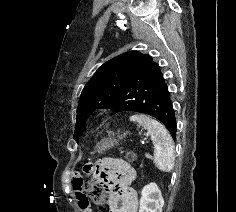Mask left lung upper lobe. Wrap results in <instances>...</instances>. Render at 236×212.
<instances>
[{
    "label": "left lung upper lobe",
    "mask_w": 236,
    "mask_h": 212,
    "mask_svg": "<svg viewBox=\"0 0 236 212\" xmlns=\"http://www.w3.org/2000/svg\"><path fill=\"white\" fill-rule=\"evenodd\" d=\"M139 51H129L105 62L82 90L78 108L74 139L85 130L89 115L99 108H110L144 58Z\"/></svg>",
    "instance_id": "obj_1"
}]
</instances>
